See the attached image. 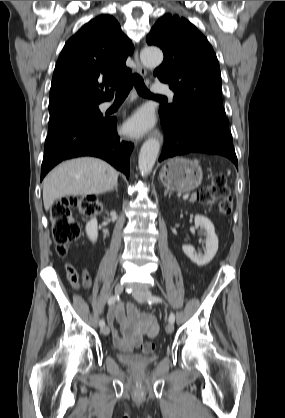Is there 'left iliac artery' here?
I'll list each match as a JSON object with an SVG mask.
<instances>
[{
    "instance_id": "44dca946",
    "label": "left iliac artery",
    "mask_w": 285,
    "mask_h": 418,
    "mask_svg": "<svg viewBox=\"0 0 285 418\" xmlns=\"http://www.w3.org/2000/svg\"><path fill=\"white\" fill-rule=\"evenodd\" d=\"M164 300L161 298V297H159V296H151V297H149L148 299H147V302L149 303V304H154V303H162ZM174 321H175V315H174V313L173 312H171L170 314H169V323H174Z\"/></svg>"
}]
</instances>
